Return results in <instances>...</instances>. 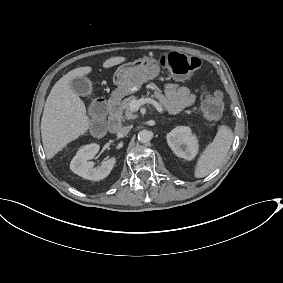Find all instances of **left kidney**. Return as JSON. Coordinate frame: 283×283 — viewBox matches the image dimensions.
<instances>
[{"mask_svg": "<svg viewBox=\"0 0 283 283\" xmlns=\"http://www.w3.org/2000/svg\"><path fill=\"white\" fill-rule=\"evenodd\" d=\"M166 139L178 157L192 160L198 153V139L187 126H177L167 134Z\"/></svg>", "mask_w": 283, "mask_h": 283, "instance_id": "left-kidney-1", "label": "left kidney"}]
</instances>
